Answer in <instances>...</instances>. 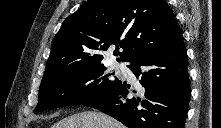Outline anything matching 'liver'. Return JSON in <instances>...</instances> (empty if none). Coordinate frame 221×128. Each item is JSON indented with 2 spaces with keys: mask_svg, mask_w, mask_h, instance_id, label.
<instances>
[{
  "mask_svg": "<svg viewBox=\"0 0 221 128\" xmlns=\"http://www.w3.org/2000/svg\"><path fill=\"white\" fill-rule=\"evenodd\" d=\"M52 128H125L112 117L97 111H86L66 117Z\"/></svg>",
  "mask_w": 221,
  "mask_h": 128,
  "instance_id": "liver-1",
  "label": "liver"
}]
</instances>
